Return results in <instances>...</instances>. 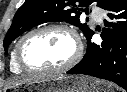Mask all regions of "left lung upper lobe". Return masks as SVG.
I'll use <instances>...</instances> for the list:
<instances>
[{
  "label": "left lung upper lobe",
  "instance_id": "1",
  "mask_svg": "<svg viewBox=\"0 0 127 92\" xmlns=\"http://www.w3.org/2000/svg\"><path fill=\"white\" fill-rule=\"evenodd\" d=\"M116 0H26L16 12L13 23L4 39V49L7 52L9 44L25 31L34 26L51 21H66L78 26L87 37L93 30L87 24H81L79 20L82 8L97 3V6L105 9ZM75 14V15H74Z\"/></svg>",
  "mask_w": 127,
  "mask_h": 92
}]
</instances>
